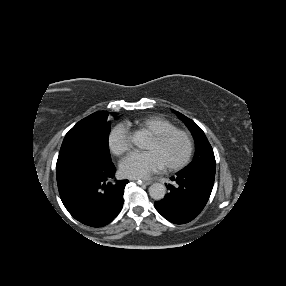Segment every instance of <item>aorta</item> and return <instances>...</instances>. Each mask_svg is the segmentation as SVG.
<instances>
[{
    "label": "aorta",
    "mask_w": 286,
    "mask_h": 286,
    "mask_svg": "<svg viewBox=\"0 0 286 286\" xmlns=\"http://www.w3.org/2000/svg\"><path fill=\"white\" fill-rule=\"evenodd\" d=\"M166 194V187L161 183H153L149 187V195L154 200H162Z\"/></svg>",
    "instance_id": "1"
}]
</instances>
